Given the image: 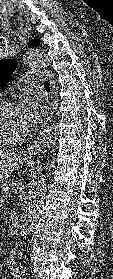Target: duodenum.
I'll return each mask as SVG.
<instances>
[{
    "mask_svg": "<svg viewBox=\"0 0 113 279\" xmlns=\"http://www.w3.org/2000/svg\"><path fill=\"white\" fill-rule=\"evenodd\" d=\"M8 226L11 234L16 235L19 232L20 221L16 212H11L8 217Z\"/></svg>",
    "mask_w": 113,
    "mask_h": 279,
    "instance_id": "duodenum-1",
    "label": "duodenum"
}]
</instances>
